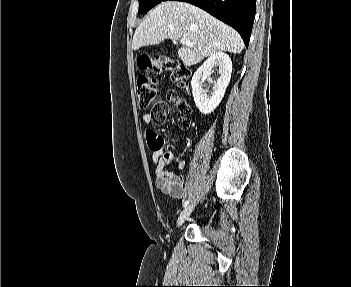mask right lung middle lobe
Instances as JSON below:
<instances>
[{"mask_svg":"<svg viewBox=\"0 0 351 287\" xmlns=\"http://www.w3.org/2000/svg\"><path fill=\"white\" fill-rule=\"evenodd\" d=\"M164 0H139V11L138 13H146L152 9L157 4L161 3Z\"/></svg>","mask_w":351,"mask_h":287,"instance_id":"right-lung-middle-lobe-1","label":"right lung middle lobe"}]
</instances>
